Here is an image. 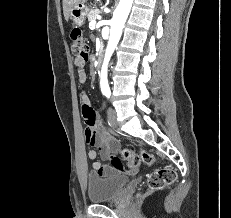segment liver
Masks as SVG:
<instances>
[{
    "instance_id": "1",
    "label": "liver",
    "mask_w": 231,
    "mask_h": 218,
    "mask_svg": "<svg viewBox=\"0 0 231 218\" xmlns=\"http://www.w3.org/2000/svg\"><path fill=\"white\" fill-rule=\"evenodd\" d=\"M87 0H63V13L66 20L69 18V12L76 3H84Z\"/></svg>"
}]
</instances>
